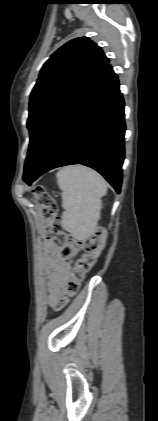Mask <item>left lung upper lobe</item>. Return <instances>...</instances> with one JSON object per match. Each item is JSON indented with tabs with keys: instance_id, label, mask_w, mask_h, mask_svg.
I'll return each instance as SVG.
<instances>
[{
	"instance_id": "left-lung-upper-lobe-1",
	"label": "left lung upper lobe",
	"mask_w": 158,
	"mask_h": 421,
	"mask_svg": "<svg viewBox=\"0 0 158 421\" xmlns=\"http://www.w3.org/2000/svg\"><path fill=\"white\" fill-rule=\"evenodd\" d=\"M109 59L87 37L73 39L60 47L44 64L32 90L28 129L30 145L25 167L55 119L70 99Z\"/></svg>"
}]
</instances>
